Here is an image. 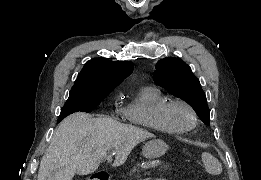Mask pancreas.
Masks as SVG:
<instances>
[{"instance_id": "1", "label": "pancreas", "mask_w": 261, "mask_h": 180, "mask_svg": "<svg viewBox=\"0 0 261 180\" xmlns=\"http://www.w3.org/2000/svg\"><path fill=\"white\" fill-rule=\"evenodd\" d=\"M151 164V166H149ZM173 162L165 159H139L135 160L130 166V169L123 171V176H131L132 178H140V176H145V169L153 170H172Z\"/></svg>"}]
</instances>
